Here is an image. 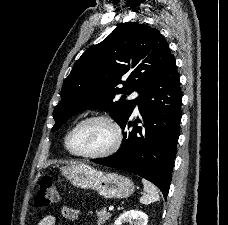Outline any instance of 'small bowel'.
Masks as SVG:
<instances>
[{
  "label": "small bowel",
  "mask_w": 228,
  "mask_h": 225,
  "mask_svg": "<svg viewBox=\"0 0 228 225\" xmlns=\"http://www.w3.org/2000/svg\"><path fill=\"white\" fill-rule=\"evenodd\" d=\"M61 215L65 217L69 221H76L78 219V213L71 207H61L60 209ZM38 225H56V217L53 214H47L43 216Z\"/></svg>",
  "instance_id": "small-bowel-1"
}]
</instances>
